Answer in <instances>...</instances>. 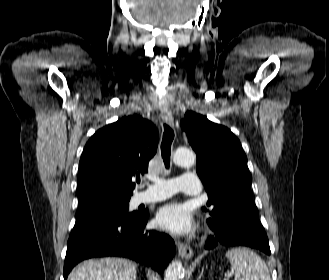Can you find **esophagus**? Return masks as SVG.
Instances as JSON below:
<instances>
[{
  "mask_svg": "<svg viewBox=\"0 0 329 280\" xmlns=\"http://www.w3.org/2000/svg\"><path fill=\"white\" fill-rule=\"evenodd\" d=\"M162 119L165 123H167L169 126L173 127L174 126V119L173 116L170 112L168 111H163L161 113ZM177 248H178V254L180 257L189 259L193 255V251L191 247L187 244H184L182 242H177Z\"/></svg>",
  "mask_w": 329,
  "mask_h": 280,
  "instance_id": "34e87169",
  "label": "esophagus"
}]
</instances>
